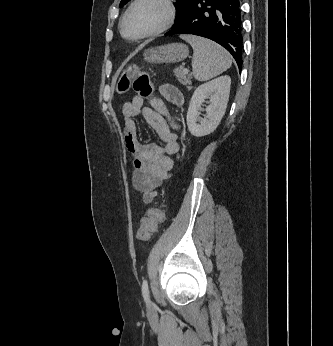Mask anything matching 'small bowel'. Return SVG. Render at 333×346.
<instances>
[{
    "instance_id": "c3829d8e",
    "label": "small bowel",
    "mask_w": 333,
    "mask_h": 346,
    "mask_svg": "<svg viewBox=\"0 0 333 346\" xmlns=\"http://www.w3.org/2000/svg\"><path fill=\"white\" fill-rule=\"evenodd\" d=\"M162 96L172 104L181 106L183 96L173 85L160 86ZM125 124V143L132 155L134 188L142 193V200L149 204L157 196L156 189L168 179L179 155V142L176 131L180 124L170 113L162 99H153L151 106H145L140 96H134L122 106ZM141 116L150 125L164 145L144 143L140 139L135 118Z\"/></svg>"
}]
</instances>
